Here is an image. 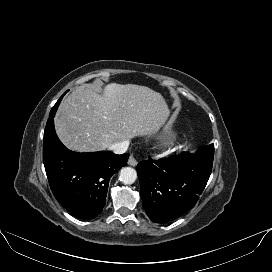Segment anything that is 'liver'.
Instances as JSON below:
<instances>
[{"label": "liver", "instance_id": "6515ba94", "mask_svg": "<svg viewBox=\"0 0 272 272\" xmlns=\"http://www.w3.org/2000/svg\"><path fill=\"white\" fill-rule=\"evenodd\" d=\"M169 115L163 96L146 86L111 83L102 95L79 86L61 102L55 129L68 149L94 152L154 134Z\"/></svg>", "mask_w": 272, "mask_h": 272}]
</instances>
